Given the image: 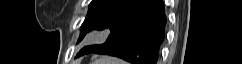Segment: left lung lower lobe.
<instances>
[{"instance_id":"1","label":"left lung lower lobe","mask_w":242,"mask_h":64,"mask_svg":"<svg viewBox=\"0 0 242 64\" xmlns=\"http://www.w3.org/2000/svg\"><path fill=\"white\" fill-rule=\"evenodd\" d=\"M165 27L162 0H121L96 24L95 30L110 29L107 41L82 48L77 57L97 53L116 56L131 64H156Z\"/></svg>"}]
</instances>
